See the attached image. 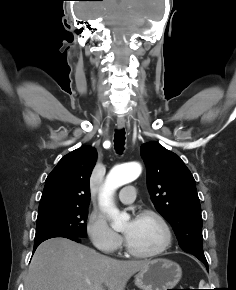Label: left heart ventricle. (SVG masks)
I'll list each match as a JSON object with an SVG mask.
<instances>
[{
	"label": "left heart ventricle",
	"instance_id": "b2bd125f",
	"mask_svg": "<svg viewBox=\"0 0 236 290\" xmlns=\"http://www.w3.org/2000/svg\"><path fill=\"white\" fill-rule=\"evenodd\" d=\"M130 223L124 227L128 233ZM136 250L149 252L157 249L164 241V233L160 224L152 217H137L135 225L126 238Z\"/></svg>",
	"mask_w": 236,
	"mask_h": 290
}]
</instances>
